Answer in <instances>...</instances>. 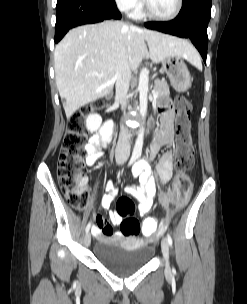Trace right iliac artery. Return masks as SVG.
Returning a JSON list of instances; mask_svg holds the SVG:
<instances>
[{
  "instance_id": "obj_1",
  "label": "right iliac artery",
  "mask_w": 247,
  "mask_h": 304,
  "mask_svg": "<svg viewBox=\"0 0 247 304\" xmlns=\"http://www.w3.org/2000/svg\"><path fill=\"white\" fill-rule=\"evenodd\" d=\"M135 160H136V157L132 156L128 163V166H131L135 162ZM90 227H91V222H89L88 225L86 226V229H85L86 233L89 231Z\"/></svg>"
}]
</instances>
